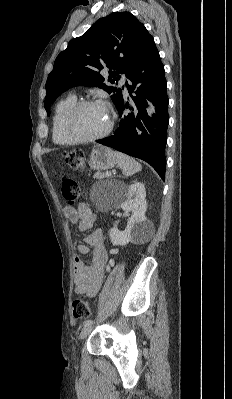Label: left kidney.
<instances>
[{
	"instance_id": "1",
	"label": "left kidney",
	"mask_w": 232,
	"mask_h": 399,
	"mask_svg": "<svg viewBox=\"0 0 232 399\" xmlns=\"http://www.w3.org/2000/svg\"><path fill=\"white\" fill-rule=\"evenodd\" d=\"M118 192L122 196L120 207L132 213L124 231H119L116 225L111 227L110 239L113 245H126L129 241L141 243L145 241L149 227L152 225L151 221L145 217L147 209L145 186L141 182H134L131 186L121 182Z\"/></svg>"
}]
</instances>
